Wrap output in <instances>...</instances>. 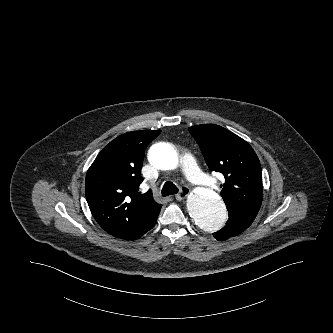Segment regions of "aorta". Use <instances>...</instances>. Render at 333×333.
Segmentation results:
<instances>
[{"instance_id": "obj_1", "label": "aorta", "mask_w": 333, "mask_h": 333, "mask_svg": "<svg viewBox=\"0 0 333 333\" xmlns=\"http://www.w3.org/2000/svg\"><path fill=\"white\" fill-rule=\"evenodd\" d=\"M150 163L162 170H172L178 165L175 149L168 143H157L149 150ZM187 210L197 226L206 232L219 231L227 221L223 200L209 189H201L187 199Z\"/></svg>"}]
</instances>
